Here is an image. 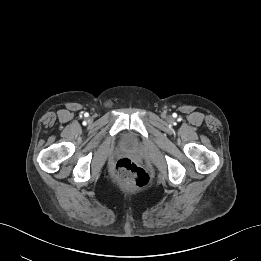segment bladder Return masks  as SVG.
<instances>
[{"mask_svg":"<svg viewBox=\"0 0 261 261\" xmlns=\"http://www.w3.org/2000/svg\"><path fill=\"white\" fill-rule=\"evenodd\" d=\"M122 144L127 148H132L136 145L135 138L131 133H125L122 137Z\"/></svg>","mask_w":261,"mask_h":261,"instance_id":"1","label":"bladder"}]
</instances>
